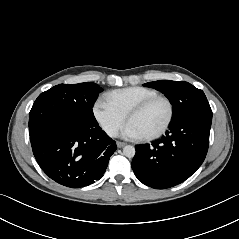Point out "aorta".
I'll return each mask as SVG.
<instances>
[{"label":"aorta","mask_w":239,"mask_h":239,"mask_svg":"<svg viewBox=\"0 0 239 239\" xmlns=\"http://www.w3.org/2000/svg\"><path fill=\"white\" fill-rule=\"evenodd\" d=\"M135 148L131 145H126L124 148H123V154L128 157V158H132L134 157L135 155Z\"/></svg>","instance_id":"aorta-1"}]
</instances>
